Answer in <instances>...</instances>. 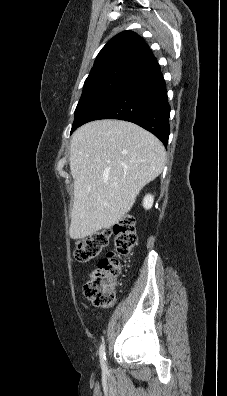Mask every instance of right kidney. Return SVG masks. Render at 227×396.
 <instances>
[{
	"label": "right kidney",
	"mask_w": 227,
	"mask_h": 396,
	"mask_svg": "<svg viewBox=\"0 0 227 396\" xmlns=\"http://www.w3.org/2000/svg\"><path fill=\"white\" fill-rule=\"evenodd\" d=\"M154 198L152 195H146L144 200H143V206L145 209H150L153 205Z\"/></svg>",
	"instance_id": "ca27d5eb"
}]
</instances>
